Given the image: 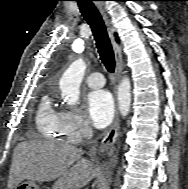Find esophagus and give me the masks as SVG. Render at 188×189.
I'll list each match as a JSON object with an SVG mask.
<instances>
[{"label": "esophagus", "instance_id": "34e87169", "mask_svg": "<svg viewBox=\"0 0 188 189\" xmlns=\"http://www.w3.org/2000/svg\"><path fill=\"white\" fill-rule=\"evenodd\" d=\"M96 5L99 8L101 14L103 15V17L106 21V24L108 26L109 33L112 36L113 30L110 27L108 17L106 15L105 11L103 10L102 5L100 3H97ZM112 42H113V47H114L115 59H116L115 79H116V82H119L120 77H121V73H122V68H123L122 54H121L120 48L118 47V45L114 41L113 37H112ZM116 87L117 86H115V89H116ZM119 121H120L119 120V114H118V110L116 108L114 121H113L110 129L105 133V136L103 137V140L101 142L100 149H99L100 152L107 151L116 141L117 136H118V131H119V128H120Z\"/></svg>", "mask_w": 188, "mask_h": 189}]
</instances>
